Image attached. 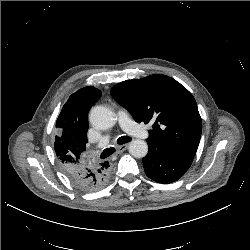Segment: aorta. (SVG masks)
I'll return each instance as SVG.
<instances>
[{
	"label": "aorta",
	"mask_w": 250,
	"mask_h": 250,
	"mask_svg": "<svg viewBox=\"0 0 250 250\" xmlns=\"http://www.w3.org/2000/svg\"><path fill=\"white\" fill-rule=\"evenodd\" d=\"M91 124L101 130L112 128L117 121L115 113L105 106H95L90 111ZM129 152L136 158H143L148 153V145L145 141L136 139L130 142Z\"/></svg>",
	"instance_id": "1"
}]
</instances>
